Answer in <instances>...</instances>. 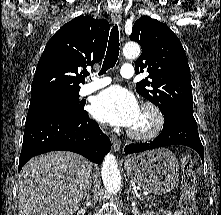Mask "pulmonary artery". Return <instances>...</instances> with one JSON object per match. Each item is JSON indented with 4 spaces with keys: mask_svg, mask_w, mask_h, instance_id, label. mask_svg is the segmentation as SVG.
<instances>
[{
    "mask_svg": "<svg viewBox=\"0 0 221 215\" xmlns=\"http://www.w3.org/2000/svg\"><path fill=\"white\" fill-rule=\"evenodd\" d=\"M120 74L123 78H131L134 76V67L130 64H124L120 69ZM112 82L110 77L105 76H91V81L85 85H83L80 89V95L86 96L91 94Z\"/></svg>",
    "mask_w": 221,
    "mask_h": 215,
    "instance_id": "e3ab8cb5",
    "label": "pulmonary artery"
}]
</instances>
